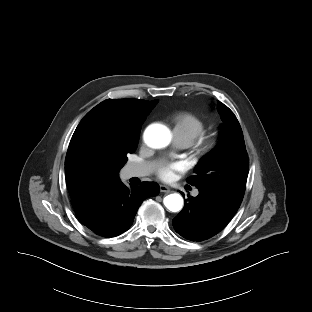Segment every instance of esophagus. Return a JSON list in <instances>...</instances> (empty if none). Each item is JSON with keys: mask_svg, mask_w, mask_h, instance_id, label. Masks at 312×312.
<instances>
[{"mask_svg": "<svg viewBox=\"0 0 312 312\" xmlns=\"http://www.w3.org/2000/svg\"><path fill=\"white\" fill-rule=\"evenodd\" d=\"M160 191L164 192V193H169L170 192V188L166 185H160Z\"/></svg>", "mask_w": 312, "mask_h": 312, "instance_id": "34e87169", "label": "esophagus"}]
</instances>
